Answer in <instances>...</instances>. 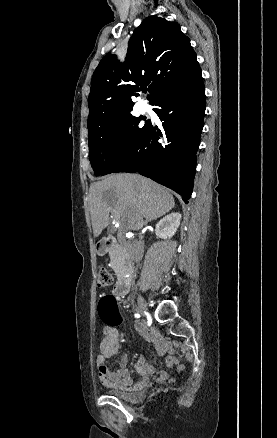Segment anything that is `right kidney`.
Here are the masks:
<instances>
[{"label":"right kidney","mask_w":277,"mask_h":438,"mask_svg":"<svg viewBox=\"0 0 277 438\" xmlns=\"http://www.w3.org/2000/svg\"><path fill=\"white\" fill-rule=\"evenodd\" d=\"M181 214L179 212H173V214H168L165 218H162L158 224H156L155 234L158 238H172L177 232V228L180 226Z\"/></svg>","instance_id":"1"}]
</instances>
